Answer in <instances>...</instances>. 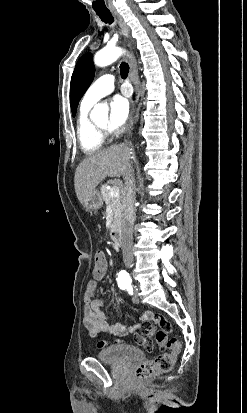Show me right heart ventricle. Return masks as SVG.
Wrapping results in <instances>:
<instances>
[{
	"label": "right heart ventricle",
	"instance_id": "1",
	"mask_svg": "<svg viewBox=\"0 0 247 413\" xmlns=\"http://www.w3.org/2000/svg\"><path fill=\"white\" fill-rule=\"evenodd\" d=\"M90 105H84L77 125V138L81 150L86 155L97 154L101 151L104 139L100 135L95 124L87 117L86 110Z\"/></svg>",
	"mask_w": 247,
	"mask_h": 413
}]
</instances>
